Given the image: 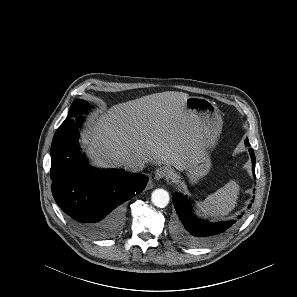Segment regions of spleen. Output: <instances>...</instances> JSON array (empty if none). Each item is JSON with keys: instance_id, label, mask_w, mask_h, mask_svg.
Listing matches in <instances>:
<instances>
[{"instance_id": "3e777b00", "label": "spleen", "mask_w": 297, "mask_h": 297, "mask_svg": "<svg viewBox=\"0 0 297 297\" xmlns=\"http://www.w3.org/2000/svg\"><path fill=\"white\" fill-rule=\"evenodd\" d=\"M239 194L240 185L231 180L215 193L208 195L204 201H198L197 207L206 216L223 217L237 206Z\"/></svg>"}]
</instances>
